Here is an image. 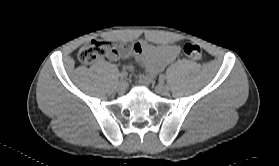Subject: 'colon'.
Instances as JSON below:
<instances>
[{
  "label": "colon",
  "instance_id": "obj_1",
  "mask_svg": "<svg viewBox=\"0 0 279 166\" xmlns=\"http://www.w3.org/2000/svg\"><path fill=\"white\" fill-rule=\"evenodd\" d=\"M125 49H133L134 51H137L139 46L135 44L132 47H117L109 41L93 40L79 50L78 60L83 64H92L109 53H119ZM183 52L189 59L192 60H200L202 58V50L200 46L195 43H186L183 46ZM142 80L144 82H148L149 78L144 76L142 77Z\"/></svg>",
  "mask_w": 279,
  "mask_h": 166
}]
</instances>
